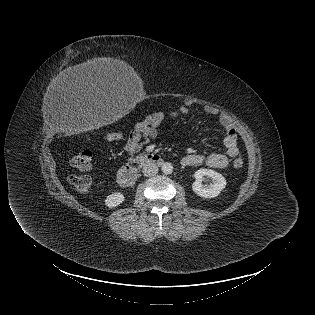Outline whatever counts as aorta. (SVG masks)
Here are the masks:
<instances>
[{"label": "aorta", "instance_id": "1", "mask_svg": "<svg viewBox=\"0 0 315 315\" xmlns=\"http://www.w3.org/2000/svg\"><path fill=\"white\" fill-rule=\"evenodd\" d=\"M161 170L164 174H171L173 172V166L170 162L162 164Z\"/></svg>", "mask_w": 315, "mask_h": 315}]
</instances>
